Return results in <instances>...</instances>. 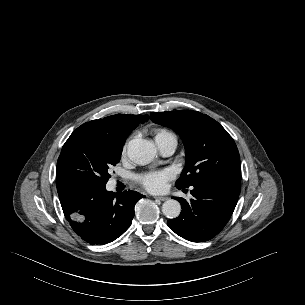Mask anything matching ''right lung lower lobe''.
<instances>
[{
    "mask_svg": "<svg viewBox=\"0 0 305 305\" xmlns=\"http://www.w3.org/2000/svg\"><path fill=\"white\" fill-rule=\"evenodd\" d=\"M57 191L72 229L90 244H106L121 236L131 225L136 202L144 198L135 191L108 192L105 186L63 184Z\"/></svg>",
    "mask_w": 305,
    "mask_h": 305,
    "instance_id": "98d812e1",
    "label": "right lung lower lobe"
}]
</instances>
